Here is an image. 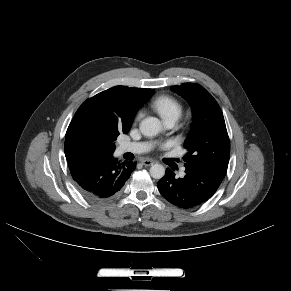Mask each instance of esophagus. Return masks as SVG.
Wrapping results in <instances>:
<instances>
[{"mask_svg": "<svg viewBox=\"0 0 291 291\" xmlns=\"http://www.w3.org/2000/svg\"><path fill=\"white\" fill-rule=\"evenodd\" d=\"M141 163L144 165V166H151L154 164V161L151 160V159H143L141 160Z\"/></svg>", "mask_w": 291, "mask_h": 291, "instance_id": "34e87169", "label": "esophagus"}]
</instances>
